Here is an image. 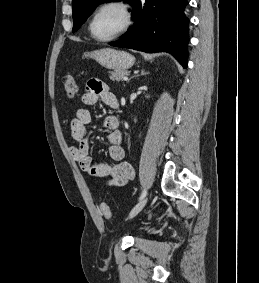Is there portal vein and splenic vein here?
Masks as SVG:
<instances>
[{
	"label": "portal vein and splenic vein",
	"instance_id": "obj_1",
	"mask_svg": "<svg viewBox=\"0 0 259 283\" xmlns=\"http://www.w3.org/2000/svg\"><path fill=\"white\" fill-rule=\"evenodd\" d=\"M123 80H124V81H127V80H128V77H127V76H125V77L123 78Z\"/></svg>",
	"mask_w": 259,
	"mask_h": 283
}]
</instances>
